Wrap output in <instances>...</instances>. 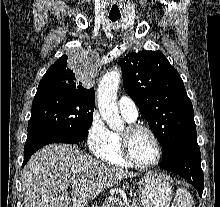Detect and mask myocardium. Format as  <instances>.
<instances>
[{
  "label": "myocardium",
  "mask_w": 220,
  "mask_h": 207,
  "mask_svg": "<svg viewBox=\"0 0 220 207\" xmlns=\"http://www.w3.org/2000/svg\"><path fill=\"white\" fill-rule=\"evenodd\" d=\"M137 131H145L147 132L151 138L153 139L156 149H157V157L154 162L150 164H140L137 161L134 160L132 157L131 151H130V138L131 135ZM119 142H120V150L123 158L126 160L127 163H129L132 167L147 170L154 168L157 166L163 155L162 145L160 143V140L156 133L148 126L139 124V123H129L126 128L119 133Z\"/></svg>",
  "instance_id": "1"
}]
</instances>
